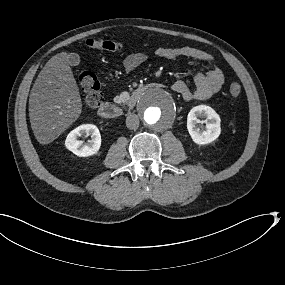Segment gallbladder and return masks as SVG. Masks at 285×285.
I'll return each mask as SVG.
<instances>
[{
	"label": "gallbladder",
	"instance_id": "gallbladder-1",
	"mask_svg": "<svg viewBox=\"0 0 285 285\" xmlns=\"http://www.w3.org/2000/svg\"><path fill=\"white\" fill-rule=\"evenodd\" d=\"M68 62L72 66H76L80 63V57L76 53H70L68 57Z\"/></svg>",
	"mask_w": 285,
	"mask_h": 285
}]
</instances>
